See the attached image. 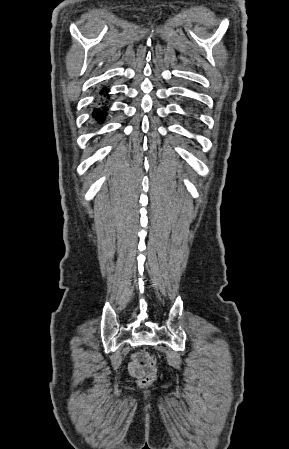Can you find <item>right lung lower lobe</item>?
<instances>
[{"label":"right lung lower lobe","mask_w":289,"mask_h":449,"mask_svg":"<svg viewBox=\"0 0 289 449\" xmlns=\"http://www.w3.org/2000/svg\"><path fill=\"white\" fill-rule=\"evenodd\" d=\"M107 92H108V89L106 87H103L100 94L103 95L104 97H106ZM107 98H109V97H107ZM107 109L108 108L106 106H104V107L101 106V107L95 108L93 110L92 115L100 124L104 121V118L107 115Z\"/></svg>","instance_id":"1"}]
</instances>
